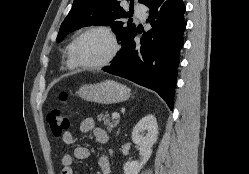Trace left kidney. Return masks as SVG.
I'll return each mask as SVG.
<instances>
[{
  "mask_svg": "<svg viewBox=\"0 0 249 174\" xmlns=\"http://www.w3.org/2000/svg\"><path fill=\"white\" fill-rule=\"evenodd\" d=\"M145 131H147L146 134ZM157 137L158 124L155 116L151 114L143 117L132 131V141L140 149V160L126 162L123 167L124 174H139L152 154V147Z\"/></svg>",
  "mask_w": 249,
  "mask_h": 174,
  "instance_id": "left-kidney-1",
  "label": "left kidney"
}]
</instances>
